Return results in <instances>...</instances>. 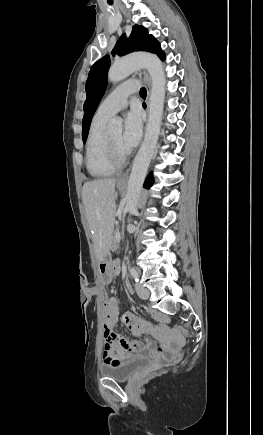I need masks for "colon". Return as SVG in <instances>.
<instances>
[{
    "instance_id": "1",
    "label": "colon",
    "mask_w": 263,
    "mask_h": 435,
    "mask_svg": "<svg viewBox=\"0 0 263 435\" xmlns=\"http://www.w3.org/2000/svg\"><path fill=\"white\" fill-rule=\"evenodd\" d=\"M100 294L104 297L105 293L103 291L100 292ZM105 305V303H104ZM103 305V307H104ZM170 329H178L179 332H181V334L183 335L184 339L188 338L187 335V330L186 327H180V324H170L168 326ZM115 330L113 328H105L102 331V343H101V348L102 350H111L112 348V344H113V340L115 339Z\"/></svg>"
}]
</instances>
